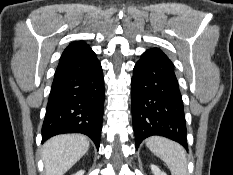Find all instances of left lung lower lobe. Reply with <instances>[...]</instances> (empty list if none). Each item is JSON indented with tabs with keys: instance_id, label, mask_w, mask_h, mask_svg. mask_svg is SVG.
I'll list each match as a JSON object with an SVG mask.
<instances>
[{
	"instance_id": "0a47b994",
	"label": "left lung lower lobe",
	"mask_w": 233,
	"mask_h": 175,
	"mask_svg": "<svg viewBox=\"0 0 233 175\" xmlns=\"http://www.w3.org/2000/svg\"><path fill=\"white\" fill-rule=\"evenodd\" d=\"M132 120L136 148L160 135L188 149L183 101L171 60L159 48L145 51L131 81Z\"/></svg>"
}]
</instances>
